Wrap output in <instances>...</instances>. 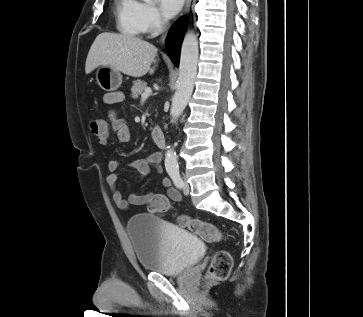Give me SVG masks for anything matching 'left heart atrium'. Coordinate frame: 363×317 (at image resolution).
Instances as JSON below:
<instances>
[{
  "instance_id": "left-heart-atrium-1",
  "label": "left heart atrium",
  "mask_w": 363,
  "mask_h": 317,
  "mask_svg": "<svg viewBox=\"0 0 363 317\" xmlns=\"http://www.w3.org/2000/svg\"><path fill=\"white\" fill-rule=\"evenodd\" d=\"M183 2L184 0H160L161 10L165 16L172 17L180 11Z\"/></svg>"
}]
</instances>
